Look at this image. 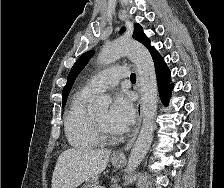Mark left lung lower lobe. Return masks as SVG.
I'll return each instance as SVG.
<instances>
[{"label": "left lung lower lobe", "mask_w": 224, "mask_h": 188, "mask_svg": "<svg viewBox=\"0 0 224 188\" xmlns=\"http://www.w3.org/2000/svg\"><path fill=\"white\" fill-rule=\"evenodd\" d=\"M154 65L157 74L160 98L164 104H168L172 90V85L170 84V71L162 58L157 62H154Z\"/></svg>", "instance_id": "left-lung-lower-lobe-1"}]
</instances>
